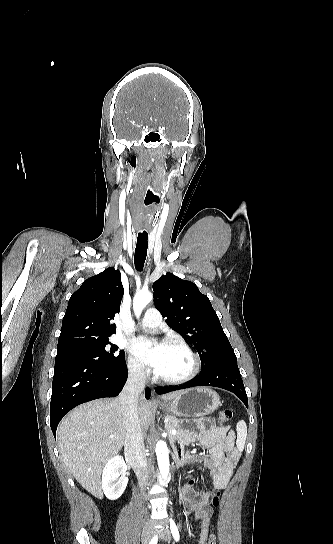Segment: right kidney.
<instances>
[{
    "instance_id": "1",
    "label": "right kidney",
    "mask_w": 333,
    "mask_h": 544,
    "mask_svg": "<svg viewBox=\"0 0 333 544\" xmlns=\"http://www.w3.org/2000/svg\"><path fill=\"white\" fill-rule=\"evenodd\" d=\"M128 484L127 466L123 457H112L104 466L102 473V489L110 500L118 499Z\"/></svg>"
}]
</instances>
